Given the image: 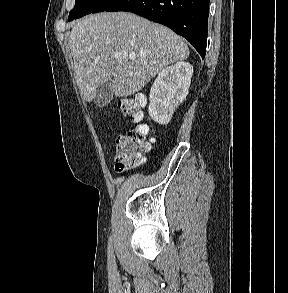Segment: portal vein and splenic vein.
I'll return each instance as SVG.
<instances>
[{
    "mask_svg": "<svg viewBox=\"0 0 288 293\" xmlns=\"http://www.w3.org/2000/svg\"><path fill=\"white\" fill-rule=\"evenodd\" d=\"M117 57H124V58L129 57L130 59L135 58L134 55H129L127 52L119 53V54H117Z\"/></svg>",
    "mask_w": 288,
    "mask_h": 293,
    "instance_id": "obj_1",
    "label": "portal vein and splenic vein"
}]
</instances>
